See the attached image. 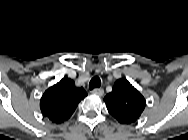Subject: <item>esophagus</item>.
<instances>
[{
	"instance_id": "34e87169",
	"label": "esophagus",
	"mask_w": 188,
	"mask_h": 140,
	"mask_svg": "<svg viewBox=\"0 0 188 140\" xmlns=\"http://www.w3.org/2000/svg\"><path fill=\"white\" fill-rule=\"evenodd\" d=\"M92 93L98 96H102L104 94V90L102 88H94Z\"/></svg>"
}]
</instances>
